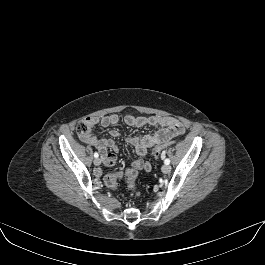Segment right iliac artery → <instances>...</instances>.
Returning a JSON list of instances; mask_svg holds the SVG:
<instances>
[{"mask_svg": "<svg viewBox=\"0 0 265 265\" xmlns=\"http://www.w3.org/2000/svg\"><path fill=\"white\" fill-rule=\"evenodd\" d=\"M94 157L95 158H98L99 157V154L97 152L94 153Z\"/></svg>", "mask_w": 265, "mask_h": 265, "instance_id": "obj_1", "label": "right iliac artery"}]
</instances>
